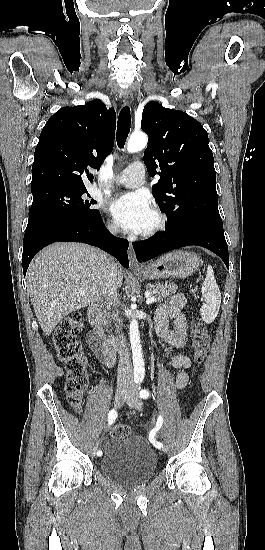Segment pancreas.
I'll list each match as a JSON object with an SVG mask.
<instances>
[{
    "label": "pancreas",
    "mask_w": 265,
    "mask_h": 550,
    "mask_svg": "<svg viewBox=\"0 0 265 550\" xmlns=\"http://www.w3.org/2000/svg\"><path fill=\"white\" fill-rule=\"evenodd\" d=\"M147 289L156 301L161 302L164 298L176 292L177 285L171 283H149L147 285ZM111 317L112 316L109 309L106 308L102 311L101 320L105 326L109 325Z\"/></svg>",
    "instance_id": "obj_1"
}]
</instances>
